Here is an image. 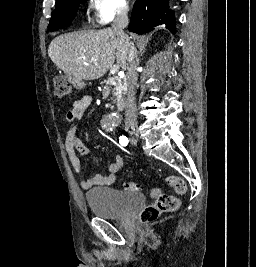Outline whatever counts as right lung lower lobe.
I'll return each instance as SVG.
<instances>
[{"label": "right lung lower lobe", "instance_id": "1", "mask_svg": "<svg viewBox=\"0 0 256 267\" xmlns=\"http://www.w3.org/2000/svg\"><path fill=\"white\" fill-rule=\"evenodd\" d=\"M168 0H137L134 4L129 30L138 34L149 32L154 26L165 24L176 32L173 12L167 8Z\"/></svg>", "mask_w": 256, "mask_h": 267}]
</instances>
